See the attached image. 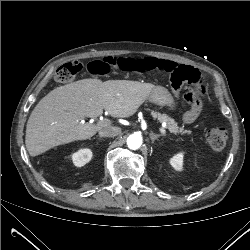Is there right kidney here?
I'll list each match as a JSON object with an SVG mask.
<instances>
[{
    "mask_svg": "<svg viewBox=\"0 0 250 250\" xmlns=\"http://www.w3.org/2000/svg\"><path fill=\"white\" fill-rule=\"evenodd\" d=\"M92 158L90 149H81L72 155V160L75 166L81 167L88 163Z\"/></svg>",
    "mask_w": 250,
    "mask_h": 250,
    "instance_id": "ca27d5eb",
    "label": "right kidney"
}]
</instances>
